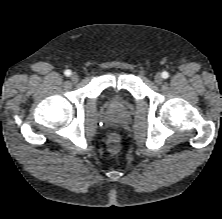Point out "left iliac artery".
Here are the masks:
<instances>
[{"instance_id": "1", "label": "left iliac artery", "mask_w": 222, "mask_h": 219, "mask_svg": "<svg viewBox=\"0 0 222 219\" xmlns=\"http://www.w3.org/2000/svg\"><path fill=\"white\" fill-rule=\"evenodd\" d=\"M162 77H163L164 79L168 78V77H169V73L166 72V71H164V72L162 73Z\"/></svg>"}]
</instances>
